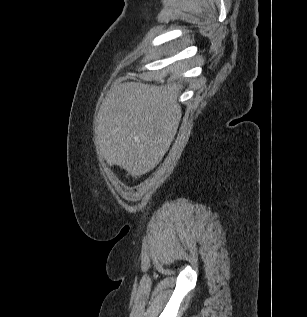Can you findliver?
Here are the masks:
<instances>
[{"label": "liver", "instance_id": "liver-1", "mask_svg": "<svg viewBox=\"0 0 307 317\" xmlns=\"http://www.w3.org/2000/svg\"><path fill=\"white\" fill-rule=\"evenodd\" d=\"M182 89L180 80L161 86L126 82L111 87L100 106L95 130L108 165L133 176L156 167L177 132Z\"/></svg>", "mask_w": 307, "mask_h": 317}]
</instances>
